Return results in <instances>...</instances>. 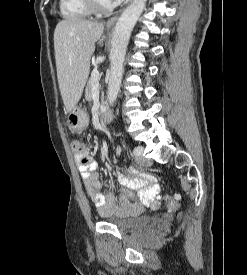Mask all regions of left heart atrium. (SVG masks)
<instances>
[{"instance_id": "1", "label": "left heart atrium", "mask_w": 247, "mask_h": 275, "mask_svg": "<svg viewBox=\"0 0 247 275\" xmlns=\"http://www.w3.org/2000/svg\"><path fill=\"white\" fill-rule=\"evenodd\" d=\"M112 5H117L119 4L120 2H122L123 0H110Z\"/></svg>"}]
</instances>
